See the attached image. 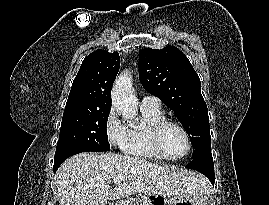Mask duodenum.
<instances>
[{
	"mask_svg": "<svg viewBox=\"0 0 269 205\" xmlns=\"http://www.w3.org/2000/svg\"><path fill=\"white\" fill-rule=\"evenodd\" d=\"M108 205H117V204L112 203V204H108Z\"/></svg>",
	"mask_w": 269,
	"mask_h": 205,
	"instance_id": "1",
	"label": "duodenum"
}]
</instances>
